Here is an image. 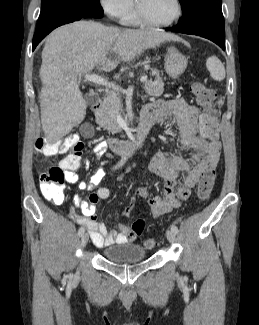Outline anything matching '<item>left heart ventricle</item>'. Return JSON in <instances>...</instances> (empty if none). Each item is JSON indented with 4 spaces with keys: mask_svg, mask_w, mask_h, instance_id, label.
<instances>
[{
    "mask_svg": "<svg viewBox=\"0 0 259 325\" xmlns=\"http://www.w3.org/2000/svg\"><path fill=\"white\" fill-rule=\"evenodd\" d=\"M144 14L154 21H167L175 13L173 0H140Z\"/></svg>",
    "mask_w": 259,
    "mask_h": 325,
    "instance_id": "1",
    "label": "left heart ventricle"
}]
</instances>
